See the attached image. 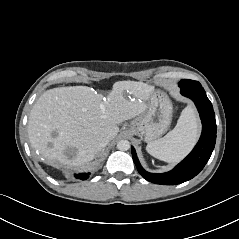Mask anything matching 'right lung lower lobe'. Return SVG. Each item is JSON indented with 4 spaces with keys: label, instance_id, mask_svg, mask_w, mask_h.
Wrapping results in <instances>:
<instances>
[{
    "label": "right lung lower lobe",
    "instance_id": "98d812e1",
    "mask_svg": "<svg viewBox=\"0 0 239 239\" xmlns=\"http://www.w3.org/2000/svg\"><path fill=\"white\" fill-rule=\"evenodd\" d=\"M76 178H79L81 180H85L89 177V174L87 173H82V174H78V175H75Z\"/></svg>",
    "mask_w": 239,
    "mask_h": 239
}]
</instances>
